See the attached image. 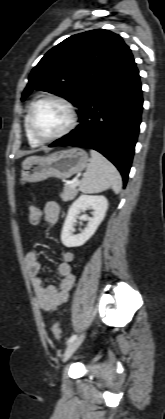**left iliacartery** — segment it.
<instances>
[{
  "instance_id": "left-iliac-artery-1",
  "label": "left iliac artery",
  "mask_w": 165,
  "mask_h": 419,
  "mask_svg": "<svg viewBox=\"0 0 165 419\" xmlns=\"http://www.w3.org/2000/svg\"><path fill=\"white\" fill-rule=\"evenodd\" d=\"M77 338V335H72L69 339H68V341H67V343H70V342H72L73 340H75Z\"/></svg>"
}]
</instances>
